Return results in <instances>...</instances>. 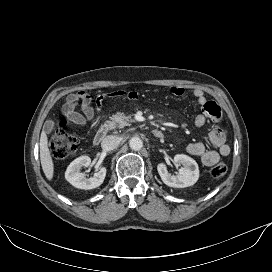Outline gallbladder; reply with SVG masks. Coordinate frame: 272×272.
<instances>
[{
	"label": "gallbladder",
	"mask_w": 272,
	"mask_h": 272,
	"mask_svg": "<svg viewBox=\"0 0 272 272\" xmlns=\"http://www.w3.org/2000/svg\"><path fill=\"white\" fill-rule=\"evenodd\" d=\"M53 128H54V122L53 121H46L44 124L43 130L49 134L52 132Z\"/></svg>",
	"instance_id": "1"
}]
</instances>
